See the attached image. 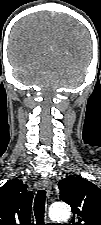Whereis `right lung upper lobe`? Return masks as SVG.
<instances>
[{"mask_svg":"<svg viewBox=\"0 0 101 225\" xmlns=\"http://www.w3.org/2000/svg\"><path fill=\"white\" fill-rule=\"evenodd\" d=\"M19 179L0 188V225H31L32 192Z\"/></svg>","mask_w":101,"mask_h":225,"instance_id":"1","label":"right lung upper lobe"}]
</instances>
